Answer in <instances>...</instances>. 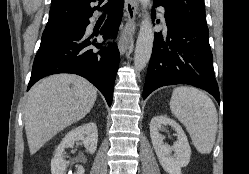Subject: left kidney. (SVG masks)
<instances>
[{
	"instance_id": "5707ae66",
	"label": "left kidney",
	"mask_w": 249,
	"mask_h": 174,
	"mask_svg": "<svg viewBox=\"0 0 249 174\" xmlns=\"http://www.w3.org/2000/svg\"><path fill=\"white\" fill-rule=\"evenodd\" d=\"M164 125H169L176 131L177 141L173 146L164 144L163 136L159 133ZM149 129L151 142L162 168L168 174H182L181 168L189 164L191 156V148L182 127L167 116H155L151 119Z\"/></svg>"
}]
</instances>
